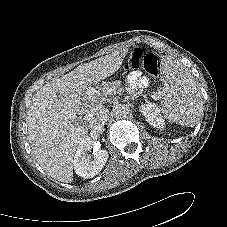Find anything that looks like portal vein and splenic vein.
Returning <instances> with one entry per match:
<instances>
[{
    "instance_id": "1",
    "label": "portal vein and splenic vein",
    "mask_w": 227,
    "mask_h": 227,
    "mask_svg": "<svg viewBox=\"0 0 227 227\" xmlns=\"http://www.w3.org/2000/svg\"><path fill=\"white\" fill-rule=\"evenodd\" d=\"M97 109H98V108H94V109L91 110V112L88 111L87 114H86V116H87V117H91V116H92V112H93V111H96Z\"/></svg>"
}]
</instances>
